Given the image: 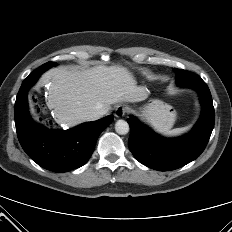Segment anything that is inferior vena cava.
Returning a JSON list of instances; mask_svg holds the SVG:
<instances>
[{"label": "inferior vena cava", "instance_id": "1", "mask_svg": "<svg viewBox=\"0 0 232 232\" xmlns=\"http://www.w3.org/2000/svg\"><path fill=\"white\" fill-rule=\"evenodd\" d=\"M107 111L105 109H98L96 111H92L89 114H87L86 119L91 121V120H97L103 115H105Z\"/></svg>", "mask_w": 232, "mask_h": 232}]
</instances>
